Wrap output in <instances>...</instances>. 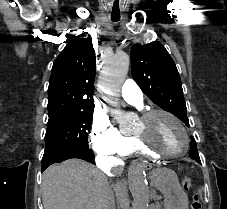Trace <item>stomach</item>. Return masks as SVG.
<instances>
[{
	"label": "stomach",
	"mask_w": 227,
	"mask_h": 209,
	"mask_svg": "<svg viewBox=\"0 0 227 209\" xmlns=\"http://www.w3.org/2000/svg\"><path fill=\"white\" fill-rule=\"evenodd\" d=\"M154 186L164 196L165 209H187L188 197L180 186L177 174L167 168H158L152 172Z\"/></svg>",
	"instance_id": "0dacf381"
}]
</instances>
